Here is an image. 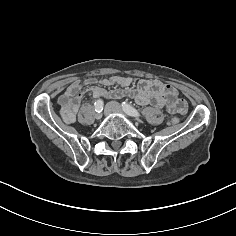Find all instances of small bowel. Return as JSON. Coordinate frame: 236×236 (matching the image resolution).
I'll return each instance as SVG.
<instances>
[{
    "instance_id": "1",
    "label": "small bowel",
    "mask_w": 236,
    "mask_h": 236,
    "mask_svg": "<svg viewBox=\"0 0 236 236\" xmlns=\"http://www.w3.org/2000/svg\"><path fill=\"white\" fill-rule=\"evenodd\" d=\"M97 83L105 87L114 86V89L107 91L102 87L95 86ZM132 83L133 79L128 76H112L99 81L94 78H89L84 82L75 80L59 97L60 114L66 123H72L78 113L82 96L86 92H90L95 98L130 97L139 105L164 108L173 114L186 113L187 103L178 98L176 89L171 85L156 79H142L135 87H130Z\"/></svg>"
}]
</instances>
